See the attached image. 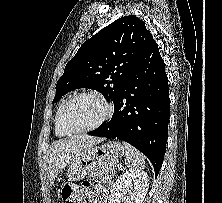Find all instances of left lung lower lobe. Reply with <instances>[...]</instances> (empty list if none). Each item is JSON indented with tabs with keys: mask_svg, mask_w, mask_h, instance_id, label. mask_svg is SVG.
Instances as JSON below:
<instances>
[{
	"mask_svg": "<svg viewBox=\"0 0 222 203\" xmlns=\"http://www.w3.org/2000/svg\"><path fill=\"white\" fill-rule=\"evenodd\" d=\"M113 102L111 120L87 134L133 145L149 158L157 176L166 149L170 100L164 61L152 35Z\"/></svg>",
	"mask_w": 222,
	"mask_h": 203,
	"instance_id": "0a47b994",
	"label": "left lung lower lobe"
}]
</instances>
